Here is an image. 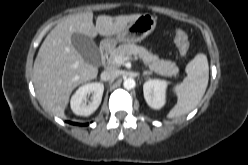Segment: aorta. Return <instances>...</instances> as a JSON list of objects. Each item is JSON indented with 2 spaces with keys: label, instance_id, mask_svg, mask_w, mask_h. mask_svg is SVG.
Segmentation results:
<instances>
[{
  "label": "aorta",
  "instance_id": "aorta-1",
  "mask_svg": "<svg viewBox=\"0 0 248 165\" xmlns=\"http://www.w3.org/2000/svg\"><path fill=\"white\" fill-rule=\"evenodd\" d=\"M135 80L133 78L124 79L123 86L125 89H133L135 87Z\"/></svg>",
  "mask_w": 248,
  "mask_h": 165
}]
</instances>
